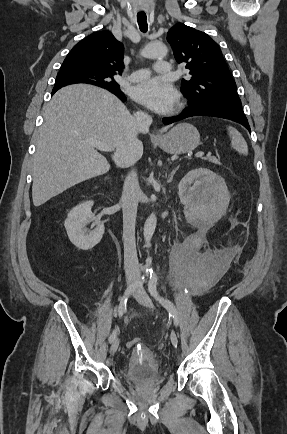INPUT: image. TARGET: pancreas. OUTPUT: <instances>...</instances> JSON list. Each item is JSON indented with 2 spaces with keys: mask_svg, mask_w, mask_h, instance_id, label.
<instances>
[{
  "mask_svg": "<svg viewBox=\"0 0 287 434\" xmlns=\"http://www.w3.org/2000/svg\"><path fill=\"white\" fill-rule=\"evenodd\" d=\"M205 160H208L209 162L215 163L220 165V162L218 161V159L214 156H208L207 158H204Z\"/></svg>",
  "mask_w": 287,
  "mask_h": 434,
  "instance_id": "1",
  "label": "pancreas"
}]
</instances>
